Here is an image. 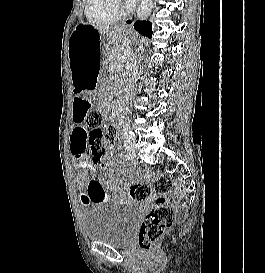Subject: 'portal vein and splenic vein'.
<instances>
[{
  "mask_svg": "<svg viewBox=\"0 0 265 273\" xmlns=\"http://www.w3.org/2000/svg\"><path fill=\"white\" fill-rule=\"evenodd\" d=\"M126 57H129V52L126 53L122 58L125 59Z\"/></svg>",
  "mask_w": 265,
  "mask_h": 273,
  "instance_id": "portal-vein-and-splenic-vein-1",
  "label": "portal vein and splenic vein"
}]
</instances>
